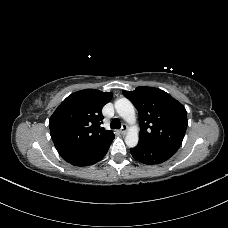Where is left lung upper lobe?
Here are the masks:
<instances>
[{
    "label": "left lung upper lobe",
    "mask_w": 228,
    "mask_h": 228,
    "mask_svg": "<svg viewBox=\"0 0 228 228\" xmlns=\"http://www.w3.org/2000/svg\"><path fill=\"white\" fill-rule=\"evenodd\" d=\"M139 113V144L170 147L178 150L187 128L185 107L165 91L140 86L123 90Z\"/></svg>",
    "instance_id": "5c2ea615"
}]
</instances>
